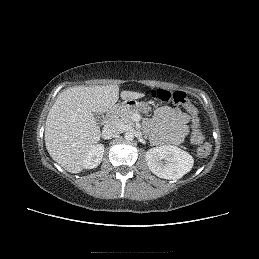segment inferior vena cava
Listing matches in <instances>:
<instances>
[{
	"label": "inferior vena cava",
	"instance_id": "602c4592",
	"mask_svg": "<svg viewBox=\"0 0 259 259\" xmlns=\"http://www.w3.org/2000/svg\"><path fill=\"white\" fill-rule=\"evenodd\" d=\"M121 132H122V128L120 124L114 123V122L105 125L103 128V135L107 139L115 137Z\"/></svg>",
	"mask_w": 259,
	"mask_h": 259
}]
</instances>
